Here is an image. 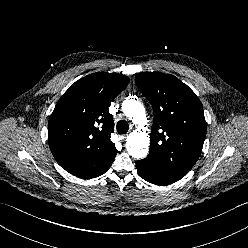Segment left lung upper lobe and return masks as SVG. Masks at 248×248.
I'll return each instance as SVG.
<instances>
[{
	"label": "left lung upper lobe",
	"instance_id": "5c2ea615",
	"mask_svg": "<svg viewBox=\"0 0 248 248\" xmlns=\"http://www.w3.org/2000/svg\"><path fill=\"white\" fill-rule=\"evenodd\" d=\"M135 81L154 111L147 158L182 178L202 152L207 129L202 104L173 75L146 72L138 74Z\"/></svg>",
	"mask_w": 248,
	"mask_h": 248
}]
</instances>
